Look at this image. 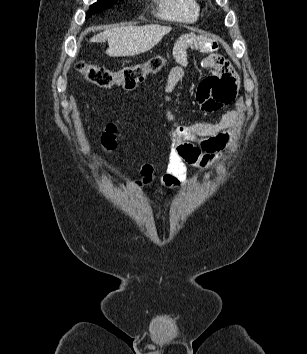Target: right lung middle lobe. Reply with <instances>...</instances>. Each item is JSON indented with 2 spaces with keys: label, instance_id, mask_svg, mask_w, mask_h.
Wrapping results in <instances>:
<instances>
[{
  "label": "right lung middle lobe",
  "instance_id": "obj_1",
  "mask_svg": "<svg viewBox=\"0 0 307 354\" xmlns=\"http://www.w3.org/2000/svg\"><path fill=\"white\" fill-rule=\"evenodd\" d=\"M118 0H98L97 3H94L90 6L89 11L87 12L86 18L90 17L92 14L99 13L104 9L110 8Z\"/></svg>",
  "mask_w": 307,
  "mask_h": 354
}]
</instances>
